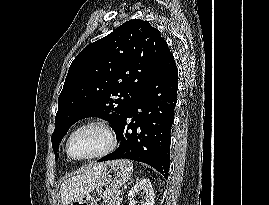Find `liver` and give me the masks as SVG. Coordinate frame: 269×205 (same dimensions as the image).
Masks as SVG:
<instances>
[{
	"label": "liver",
	"mask_w": 269,
	"mask_h": 205,
	"mask_svg": "<svg viewBox=\"0 0 269 205\" xmlns=\"http://www.w3.org/2000/svg\"><path fill=\"white\" fill-rule=\"evenodd\" d=\"M108 163L90 164L82 174L68 178L62 183L60 187L62 205H68L93 191Z\"/></svg>",
	"instance_id": "liver-1"
}]
</instances>
